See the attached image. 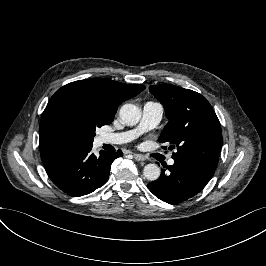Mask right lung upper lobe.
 I'll return each instance as SVG.
<instances>
[{"instance_id": "obj_1", "label": "right lung upper lobe", "mask_w": 266, "mask_h": 266, "mask_svg": "<svg viewBox=\"0 0 266 266\" xmlns=\"http://www.w3.org/2000/svg\"><path fill=\"white\" fill-rule=\"evenodd\" d=\"M144 89L143 85L124 84L101 78L79 80L61 87L50 98L40 121L39 146L43 164L46 166L62 150L76 146L60 112L62 104L69 97L80 93L91 95L104 114L114 119L117 106Z\"/></svg>"}]
</instances>
